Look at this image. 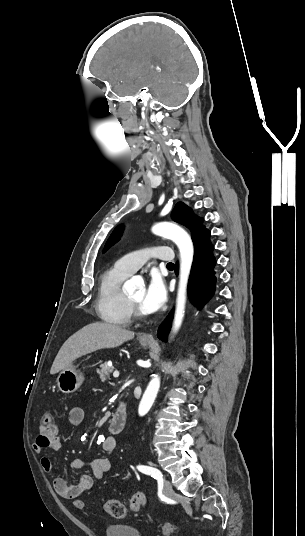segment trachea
I'll list each match as a JSON object with an SVG mask.
<instances>
[{"instance_id": "obj_1", "label": "trachea", "mask_w": 305, "mask_h": 536, "mask_svg": "<svg viewBox=\"0 0 305 536\" xmlns=\"http://www.w3.org/2000/svg\"><path fill=\"white\" fill-rule=\"evenodd\" d=\"M167 268H168V270H173L174 269V263H168Z\"/></svg>"}]
</instances>
